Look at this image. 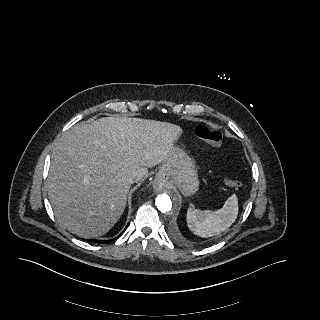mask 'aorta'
Wrapping results in <instances>:
<instances>
[{
  "mask_svg": "<svg viewBox=\"0 0 320 320\" xmlns=\"http://www.w3.org/2000/svg\"><path fill=\"white\" fill-rule=\"evenodd\" d=\"M175 208V202L172 194L162 193L159 194L155 199V211L161 216L164 214L171 213Z\"/></svg>",
  "mask_w": 320,
  "mask_h": 320,
  "instance_id": "1",
  "label": "aorta"
}]
</instances>
